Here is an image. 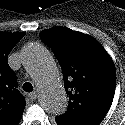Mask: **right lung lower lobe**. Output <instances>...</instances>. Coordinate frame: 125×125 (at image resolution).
I'll list each match as a JSON object with an SVG mask.
<instances>
[{
    "instance_id": "98d812e1",
    "label": "right lung lower lobe",
    "mask_w": 125,
    "mask_h": 125,
    "mask_svg": "<svg viewBox=\"0 0 125 125\" xmlns=\"http://www.w3.org/2000/svg\"><path fill=\"white\" fill-rule=\"evenodd\" d=\"M23 114V113H22ZM22 114L19 115L17 118H15L13 121H11L8 125H18V123L21 120Z\"/></svg>"
}]
</instances>
